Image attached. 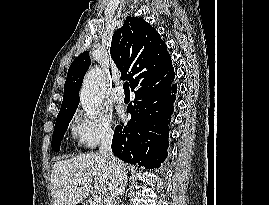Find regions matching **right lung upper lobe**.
Returning <instances> with one entry per match:
<instances>
[{
  "label": "right lung upper lobe",
  "instance_id": "cb5924a9",
  "mask_svg": "<svg viewBox=\"0 0 269 205\" xmlns=\"http://www.w3.org/2000/svg\"><path fill=\"white\" fill-rule=\"evenodd\" d=\"M110 53L121 77L129 80L132 90L174 79V68L165 42L155 28L140 18H126L123 26L113 34ZM89 66V52L80 54L70 65L57 119L75 113L79 90Z\"/></svg>",
  "mask_w": 269,
  "mask_h": 205
}]
</instances>
